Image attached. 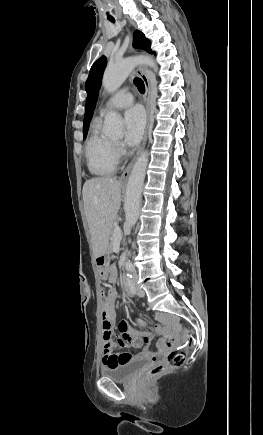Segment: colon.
<instances>
[{"instance_id":"colon-1","label":"colon","mask_w":263,"mask_h":435,"mask_svg":"<svg viewBox=\"0 0 263 435\" xmlns=\"http://www.w3.org/2000/svg\"><path fill=\"white\" fill-rule=\"evenodd\" d=\"M101 297L104 301L105 297L103 292H101ZM182 331H183L182 339H187L188 338L187 328L183 327ZM101 335L103 336L104 339L102 343L103 350H112L114 339H115L114 330L112 328H103L101 330ZM189 346H190V341L187 340L183 346H181L176 350L171 351L167 355L164 361L158 362L146 372L145 379L147 380L154 379L162 375L163 373H165L167 370L180 366L185 360L186 350Z\"/></svg>"}]
</instances>
